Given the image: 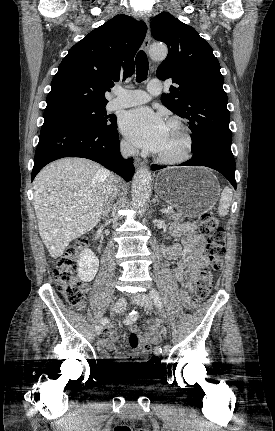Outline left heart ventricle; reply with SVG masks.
I'll return each instance as SVG.
<instances>
[{"mask_svg": "<svg viewBox=\"0 0 275 431\" xmlns=\"http://www.w3.org/2000/svg\"><path fill=\"white\" fill-rule=\"evenodd\" d=\"M183 148L184 139L181 131L177 126L167 124L164 141L157 153L164 157H176L181 154Z\"/></svg>", "mask_w": 275, "mask_h": 431, "instance_id": "b2bd125f", "label": "left heart ventricle"}]
</instances>
